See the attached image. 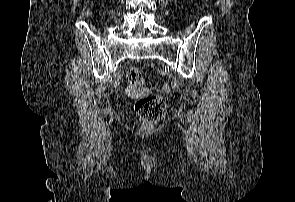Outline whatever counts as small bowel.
<instances>
[{
  "label": "small bowel",
  "mask_w": 295,
  "mask_h": 202,
  "mask_svg": "<svg viewBox=\"0 0 295 202\" xmlns=\"http://www.w3.org/2000/svg\"><path fill=\"white\" fill-rule=\"evenodd\" d=\"M129 94H134V98H152L149 89H140V85H135V89H129Z\"/></svg>",
  "instance_id": "1"
}]
</instances>
